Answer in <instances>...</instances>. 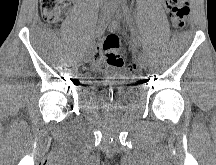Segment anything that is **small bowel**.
<instances>
[{"mask_svg": "<svg viewBox=\"0 0 216 165\" xmlns=\"http://www.w3.org/2000/svg\"><path fill=\"white\" fill-rule=\"evenodd\" d=\"M166 3H167V0H166ZM99 54H100V50H97L95 55H94L95 59H98L97 57H98Z\"/></svg>", "mask_w": 216, "mask_h": 165, "instance_id": "obj_1", "label": "small bowel"}]
</instances>
